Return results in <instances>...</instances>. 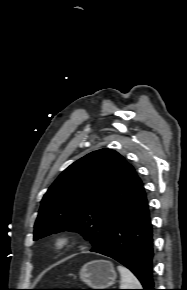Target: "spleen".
Segmentation results:
<instances>
[{
  "mask_svg": "<svg viewBox=\"0 0 187 290\" xmlns=\"http://www.w3.org/2000/svg\"><path fill=\"white\" fill-rule=\"evenodd\" d=\"M117 269L121 275L120 289H141L140 282L129 269L122 265H118Z\"/></svg>",
  "mask_w": 187,
  "mask_h": 290,
  "instance_id": "spleen-1",
  "label": "spleen"
}]
</instances>
